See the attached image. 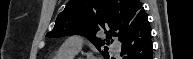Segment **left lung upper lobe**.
I'll return each instance as SVG.
<instances>
[{"mask_svg": "<svg viewBox=\"0 0 193 59\" xmlns=\"http://www.w3.org/2000/svg\"><path fill=\"white\" fill-rule=\"evenodd\" d=\"M144 12L139 0H70L58 15L55 26L46 36L58 38L79 34L87 37L106 58L101 47L112 36L121 39L135 17ZM109 30L107 41L96 37L97 32ZM106 49V47L104 48Z\"/></svg>", "mask_w": 193, "mask_h": 59, "instance_id": "1", "label": "left lung upper lobe"}]
</instances>
